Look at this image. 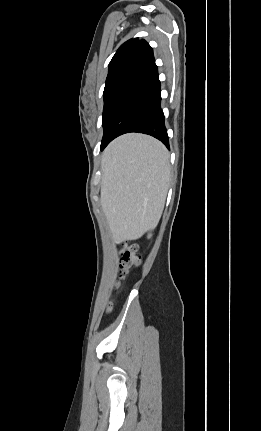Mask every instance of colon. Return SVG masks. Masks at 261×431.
<instances>
[{
    "label": "colon",
    "mask_w": 261,
    "mask_h": 431,
    "mask_svg": "<svg viewBox=\"0 0 261 431\" xmlns=\"http://www.w3.org/2000/svg\"><path fill=\"white\" fill-rule=\"evenodd\" d=\"M138 247L136 244L125 242L121 246V260H122V272L121 279H124L128 274L129 269L132 266H137L140 263V257L137 254ZM112 309V305L109 306V310Z\"/></svg>",
    "instance_id": "5ec220e1"
}]
</instances>
